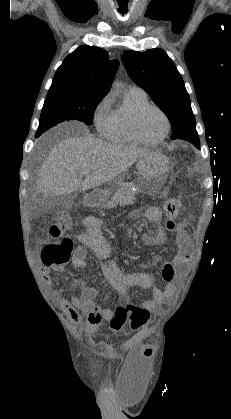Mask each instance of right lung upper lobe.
Segmentation results:
<instances>
[{"mask_svg":"<svg viewBox=\"0 0 231 419\" xmlns=\"http://www.w3.org/2000/svg\"><path fill=\"white\" fill-rule=\"evenodd\" d=\"M119 66L107 51L82 45L69 54L57 69L49 90L65 89L76 96L104 97Z\"/></svg>","mask_w":231,"mask_h":419,"instance_id":"1","label":"right lung upper lobe"}]
</instances>
